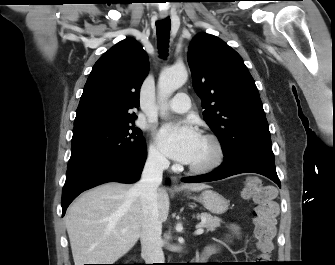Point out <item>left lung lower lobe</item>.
<instances>
[{
  "label": "left lung lower lobe",
  "instance_id": "0a47b994",
  "mask_svg": "<svg viewBox=\"0 0 335 265\" xmlns=\"http://www.w3.org/2000/svg\"><path fill=\"white\" fill-rule=\"evenodd\" d=\"M247 172L264 175L281 187L274 160L256 154H242L233 158L224 159L221 166L213 172L183 178L182 181L186 183L209 182Z\"/></svg>",
  "mask_w": 335,
  "mask_h": 265
}]
</instances>
